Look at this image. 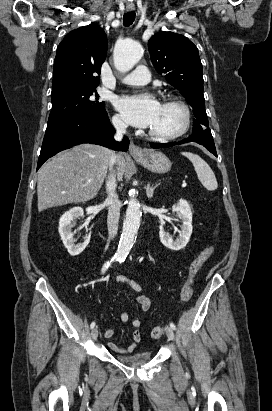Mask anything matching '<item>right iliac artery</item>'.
Segmentation results:
<instances>
[{
  "label": "right iliac artery",
  "mask_w": 272,
  "mask_h": 411,
  "mask_svg": "<svg viewBox=\"0 0 272 411\" xmlns=\"http://www.w3.org/2000/svg\"><path fill=\"white\" fill-rule=\"evenodd\" d=\"M116 260H118V259L113 257L110 261H107L102 267V273H105V271L108 269V267L111 265V263L113 261H116ZM94 327H95V322H92L91 325H90V328L93 329Z\"/></svg>",
  "instance_id": "82829eb1"
}]
</instances>
